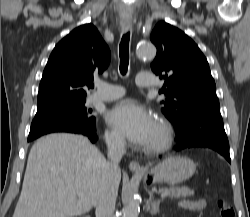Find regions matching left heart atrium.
Segmentation results:
<instances>
[{
	"instance_id": "39dd6f15",
	"label": "left heart atrium",
	"mask_w": 250,
	"mask_h": 217,
	"mask_svg": "<svg viewBox=\"0 0 250 217\" xmlns=\"http://www.w3.org/2000/svg\"><path fill=\"white\" fill-rule=\"evenodd\" d=\"M106 119L131 142L146 145L155 127L152 115L135 100L127 99L111 108Z\"/></svg>"
}]
</instances>
